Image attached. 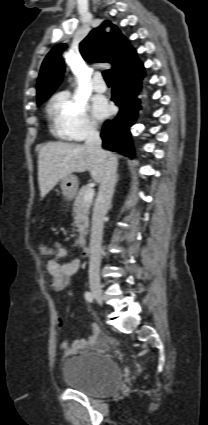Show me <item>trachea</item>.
Segmentation results:
<instances>
[{
  "label": "trachea",
  "instance_id": "obj_1",
  "mask_svg": "<svg viewBox=\"0 0 208 425\" xmlns=\"http://www.w3.org/2000/svg\"><path fill=\"white\" fill-rule=\"evenodd\" d=\"M102 75L106 82H111V78L109 77V74L107 71H103Z\"/></svg>",
  "mask_w": 208,
  "mask_h": 425
}]
</instances>
